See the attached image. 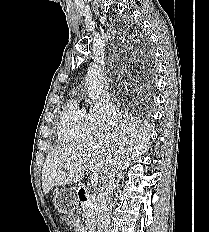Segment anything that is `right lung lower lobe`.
I'll use <instances>...</instances> for the list:
<instances>
[{
	"label": "right lung lower lobe",
	"mask_w": 209,
	"mask_h": 232,
	"mask_svg": "<svg viewBox=\"0 0 209 232\" xmlns=\"http://www.w3.org/2000/svg\"><path fill=\"white\" fill-rule=\"evenodd\" d=\"M140 59L147 65L146 75L147 78L150 79L152 69H153V61H154V54L152 50L148 46L142 48L140 52Z\"/></svg>",
	"instance_id": "98d812e1"
}]
</instances>
